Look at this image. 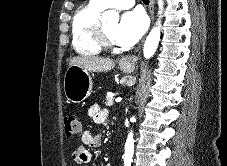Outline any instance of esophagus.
Masks as SVG:
<instances>
[{
  "mask_svg": "<svg viewBox=\"0 0 227 166\" xmlns=\"http://www.w3.org/2000/svg\"><path fill=\"white\" fill-rule=\"evenodd\" d=\"M149 12L151 16V24L154 22V0H149ZM140 49V46L136 48V52ZM133 57H122L119 61L120 64H127L133 62Z\"/></svg>",
  "mask_w": 227,
  "mask_h": 166,
  "instance_id": "34e87169",
  "label": "esophagus"
}]
</instances>
